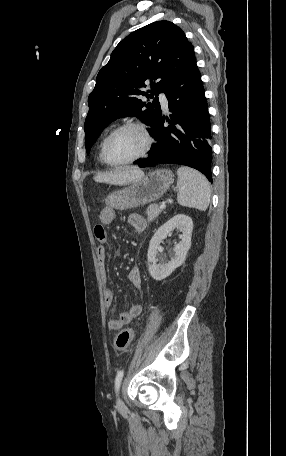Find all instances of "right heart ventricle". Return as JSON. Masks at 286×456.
<instances>
[{"mask_svg": "<svg viewBox=\"0 0 286 456\" xmlns=\"http://www.w3.org/2000/svg\"><path fill=\"white\" fill-rule=\"evenodd\" d=\"M109 132H107L101 139L100 141V147H99V158L100 160L104 163V161L102 160V146H103V143H104V140L106 138V136L108 135Z\"/></svg>", "mask_w": 286, "mask_h": 456, "instance_id": "right-heart-ventricle-1", "label": "right heart ventricle"}]
</instances>
